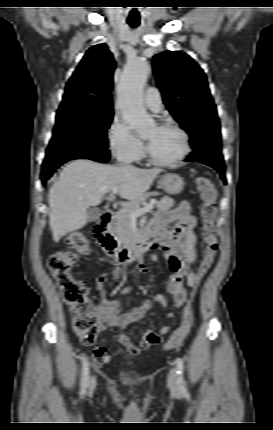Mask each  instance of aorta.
<instances>
[{
	"instance_id": "1",
	"label": "aorta",
	"mask_w": 273,
	"mask_h": 430,
	"mask_svg": "<svg viewBox=\"0 0 273 430\" xmlns=\"http://www.w3.org/2000/svg\"><path fill=\"white\" fill-rule=\"evenodd\" d=\"M149 70V61L141 58L132 60L127 64L118 86V105L123 118L138 134L146 133L154 124L142 102Z\"/></svg>"
}]
</instances>
